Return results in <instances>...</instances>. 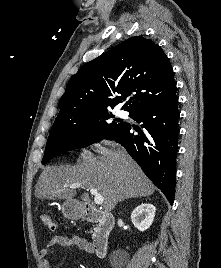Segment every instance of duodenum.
<instances>
[{
  "label": "duodenum",
  "instance_id": "duodenum-1",
  "mask_svg": "<svg viewBox=\"0 0 221 268\" xmlns=\"http://www.w3.org/2000/svg\"><path fill=\"white\" fill-rule=\"evenodd\" d=\"M81 217L86 221L97 224L98 228L92 243L93 251L97 257H104L108 248L110 233L115 224L114 217L89 205L83 207Z\"/></svg>",
  "mask_w": 221,
  "mask_h": 268
}]
</instances>
